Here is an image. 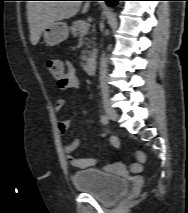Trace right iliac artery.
<instances>
[{"label": "right iliac artery", "mask_w": 188, "mask_h": 213, "mask_svg": "<svg viewBox=\"0 0 188 213\" xmlns=\"http://www.w3.org/2000/svg\"><path fill=\"white\" fill-rule=\"evenodd\" d=\"M100 120H101L102 124H104V125L109 124V117L107 115H102Z\"/></svg>", "instance_id": "82829eb1"}]
</instances>
